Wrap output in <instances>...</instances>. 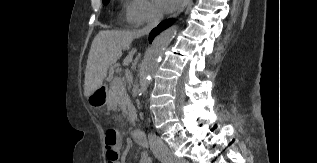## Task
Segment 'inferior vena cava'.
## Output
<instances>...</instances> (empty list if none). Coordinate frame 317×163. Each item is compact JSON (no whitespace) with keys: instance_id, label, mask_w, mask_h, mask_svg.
<instances>
[{"instance_id":"602c4592","label":"inferior vena cava","mask_w":317,"mask_h":163,"mask_svg":"<svg viewBox=\"0 0 317 163\" xmlns=\"http://www.w3.org/2000/svg\"><path fill=\"white\" fill-rule=\"evenodd\" d=\"M161 19L162 15L160 13L156 11L151 12L149 15L147 25L143 29L139 30L138 34L141 36L149 34L150 31L160 23ZM148 139L150 150L158 159H163L169 155V150L167 146L159 137H157L156 135L149 134Z\"/></svg>"}]
</instances>
